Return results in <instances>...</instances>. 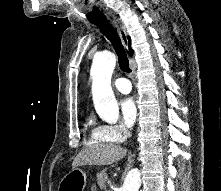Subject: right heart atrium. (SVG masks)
Here are the masks:
<instances>
[{
    "label": "right heart atrium",
    "mask_w": 221,
    "mask_h": 191,
    "mask_svg": "<svg viewBox=\"0 0 221 191\" xmlns=\"http://www.w3.org/2000/svg\"><path fill=\"white\" fill-rule=\"evenodd\" d=\"M130 132L122 124H103L95 128L94 138L98 140L122 143L126 141Z\"/></svg>",
    "instance_id": "1"
}]
</instances>
